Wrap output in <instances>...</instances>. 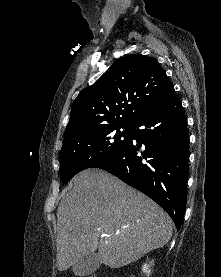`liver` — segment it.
I'll return each instance as SVG.
<instances>
[{"instance_id":"liver-1","label":"liver","mask_w":221,"mask_h":277,"mask_svg":"<svg viewBox=\"0 0 221 277\" xmlns=\"http://www.w3.org/2000/svg\"><path fill=\"white\" fill-rule=\"evenodd\" d=\"M172 232V219L153 200L103 170H84L57 210V267L98 250L101 263L119 268L165 246Z\"/></svg>"}]
</instances>
